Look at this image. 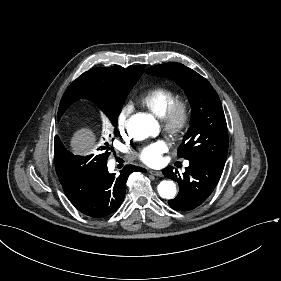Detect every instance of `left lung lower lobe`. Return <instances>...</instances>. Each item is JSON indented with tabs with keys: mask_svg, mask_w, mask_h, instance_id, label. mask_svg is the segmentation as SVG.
Here are the masks:
<instances>
[{
	"mask_svg": "<svg viewBox=\"0 0 281 281\" xmlns=\"http://www.w3.org/2000/svg\"><path fill=\"white\" fill-rule=\"evenodd\" d=\"M173 171L171 166L163 174L179 184L176 198L169 200L171 208L178 211H189L201 205L212 193L221 177L222 171L196 159L189 160V166L182 176Z\"/></svg>",
	"mask_w": 281,
	"mask_h": 281,
	"instance_id": "left-lung-lower-lobe-1",
	"label": "left lung lower lobe"
}]
</instances>
